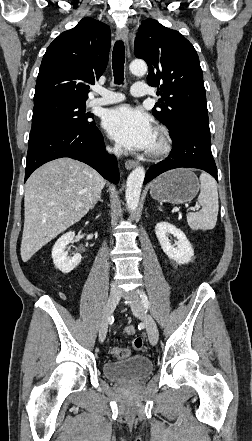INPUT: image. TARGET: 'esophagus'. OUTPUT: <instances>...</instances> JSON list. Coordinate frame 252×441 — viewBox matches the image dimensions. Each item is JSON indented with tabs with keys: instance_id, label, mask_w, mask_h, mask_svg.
Masks as SVG:
<instances>
[{
	"instance_id": "obj_1",
	"label": "esophagus",
	"mask_w": 252,
	"mask_h": 441,
	"mask_svg": "<svg viewBox=\"0 0 252 441\" xmlns=\"http://www.w3.org/2000/svg\"><path fill=\"white\" fill-rule=\"evenodd\" d=\"M117 37L123 40L128 46V29L126 27H120L116 31ZM127 57H130L129 50L127 49ZM138 165V161L127 160L125 163V167L127 170H131Z\"/></svg>"
}]
</instances>
